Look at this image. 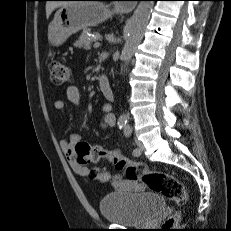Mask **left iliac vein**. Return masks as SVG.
Wrapping results in <instances>:
<instances>
[{
    "label": "left iliac vein",
    "mask_w": 231,
    "mask_h": 231,
    "mask_svg": "<svg viewBox=\"0 0 231 231\" xmlns=\"http://www.w3.org/2000/svg\"><path fill=\"white\" fill-rule=\"evenodd\" d=\"M135 142H136V145H137V149L140 151V152H142L143 150H144V145H143V143L139 140V139H137V138H135Z\"/></svg>",
    "instance_id": "left-iliac-vein-1"
}]
</instances>
